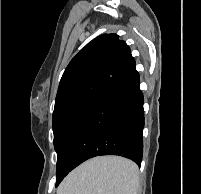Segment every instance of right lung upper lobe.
<instances>
[{"label": "right lung upper lobe", "instance_id": "right-lung-upper-lobe-1", "mask_svg": "<svg viewBox=\"0 0 201 194\" xmlns=\"http://www.w3.org/2000/svg\"><path fill=\"white\" fill-rule=\"evenodd\" d=\"M135 70L129 46L116 34L100 35L68 64L60 80L55 107L79 97H96Z\"/></svg>", "mask_w": 201, "mask_h": 194}]
</instances>
